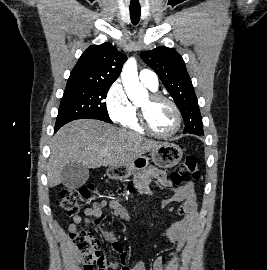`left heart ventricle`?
Instances as JSON below:
<instances>
[{
  "instance_id": "obj_1",
  "label": "left heart ventricle",
  "mask_w": 267,
  "mask_h": 270,
  "mask_svg": "<svg viewBox=\"0 0 267 270\" xmlns=\"http://www.w3.org/2000/svg\"><path fill=\"white\" fill-rule=\"evenodd\" d=\"M140 105L147 108V117L151 127L162 134L172 132L176 125V116L172 107L163 101L150 102L146 97Z\"/></svg>"
}]
</instances>
